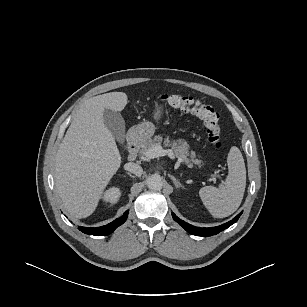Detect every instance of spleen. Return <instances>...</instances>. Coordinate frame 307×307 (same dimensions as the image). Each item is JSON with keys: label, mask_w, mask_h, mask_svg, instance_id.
Masks as SVG:
<instances>
[{"label": "spleen", "mask_w": 307, "mask_h": 307, "mask_svg": "<svg viewBox=\"0 0 307 307\" xmlns=\"http://www.w3.org/2000/svg\"><path fill=\"white\" fill-rule=\"evenodd\" d=\"M227 164L228 176L219 187L206 186L199 196L212 216L224 218L233 214L240 206L246 187V168L239 148L231 147Z\"/></svg>", "instance_id": "1"}]
</instances>
